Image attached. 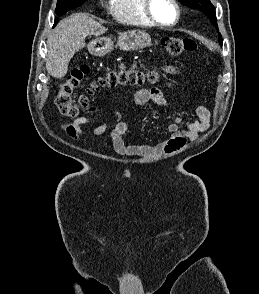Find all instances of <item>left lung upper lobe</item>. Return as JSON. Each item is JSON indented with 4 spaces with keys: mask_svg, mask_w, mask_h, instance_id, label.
<instances>
[{
    "mask_svg": "<svg viewBox=\"0 0 259 294\" xmlns=\"http://www.w3.org/2000/svg\"><path fill=\"white\" fill-rule=\"evenodd\" d=\"M183 5L198 9L202 13L208 16L212 25H214L218 29L217 20H216V12L214 6L210 2V0H179ZM219 43L222 44L221 34H218Z\"/></svg>",
    "mask_w": 259,
    "mask_h": 294,
    "instance_id": "1",
    "label": "left lung upper lobe"
}]
</instances>
